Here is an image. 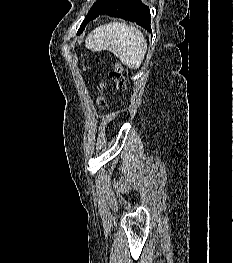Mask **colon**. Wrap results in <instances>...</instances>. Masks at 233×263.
Masks as SVG:
<instances>
[{"label": "colon", "instance_id": "obj_1", "mask_svg": "<svg viewBox=\"0 0 233 263\" xmlns=\"http://www.w3.org/2000/svg\"><path fill=\"white\" fill-rule=\"evenodd\" d=\"M108 74L110 79L114 81L117 91L124 93L127 89V85L122 66L118 62H114ZM98 103L103 107L105 105L104 98L100 97Z\"/></svg>", "mask_w": 233, "mask_h": 263}]
</instances>
